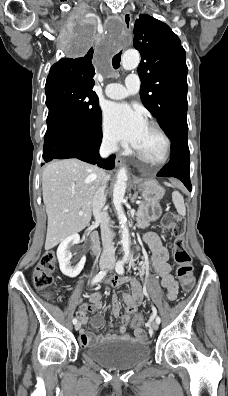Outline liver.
<instances>
[{
    "mask_svg": "<svg viewBox=\"0 0 228 396\" xmlns=\"http://www.w3.org/2000/svg\"><path fill=\"white\" fill-rule=\"evenodd\" d=\"M104 172L76 159L48 164L42 174L43 202L48 217L45 249L83 230L92 216V201ZM83 211V215H79Z\"/></svg>",
    "mask_w": 228,
    "mask_h": 396,
    "instance_id": "6515ba94",
    "label": "liver"
}]
</instances>
